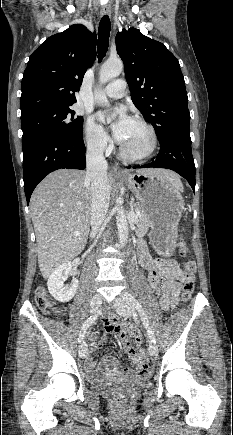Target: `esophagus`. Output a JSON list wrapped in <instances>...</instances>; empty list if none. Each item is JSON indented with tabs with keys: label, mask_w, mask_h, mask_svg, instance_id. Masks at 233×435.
I'll return each instance as SVG.
<instances>
[{
	"label": "esophagus",
	"mask_w": 233,
	"mask_h": 435,
	"mask_svg": "<svg viewBox=\"0 0 233 435\" xmlns=\"http://www.w3.org/2000/svg\"><path fill=\"white\" fill-rule=\"evenodd\" d=\"M110 14H111L110 5H107V4L103 5L101 8V15L102 16H104V15L109 16ZM112 170H113V173L115 175H118V176H125L126 175V173L118 165H114Z\"/></svg>",
	"instance_id": "1"
}]
</instances>
